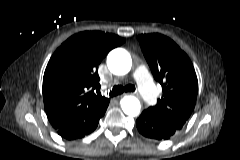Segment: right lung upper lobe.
<instances>
[{
    "mask_svg": "<svg viewBox=\"0 0 240 160\" xmlns=\"http://www.w3.org/2000/svg\"><path fill=\"white\" fill-rule=\"evenodd\" d=\"M124 42L114 34L85 31L71 36L55 51L43 77L44 106L55 129L110 101L97 92L98 65L110 50Z\"/></svg>",
    "mask_w": 240,
    "mask_h": 160,
    "instance_id": "cb5924a9",
    "label": "right lung upper lobe"
}]
</instances>
